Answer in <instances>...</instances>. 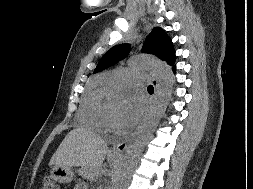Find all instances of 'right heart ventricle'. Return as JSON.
<instances>
[{
    "label": "right heart ventricle",
    "mask_w": 253,
    "mask_h": 189,
    "mask_svg": "<svg viewBox=\"0 0 253 189\" xmlns=\"http://www.w3.org/2000/svg\"><path fill=\"white\" fill-rule=\"evenodd\" d=\"M109 90L110 86L105 82L89 89L79 111V121L84 127L96 132L108 129L110 111L105 103V96Z\"/></svg>",
    "instance_id": "e07e8e85"
}]
</instances>
